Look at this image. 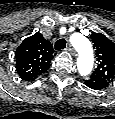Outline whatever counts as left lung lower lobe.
<instances>
[{
	"label": "left lung lower lobe",
	"instance_id": "obj_1",
	"mask_svg": "<svg viewBox=\"0 0 115 119\" xmlns=\"http://www.w3.org/2000/svg\"><path fill=\"white\" fill-rule=\"evenodd\" d=\"M85 85L95 90H101L108 87L109 81L93 74L87 80H85Z\"/></svg>",
	"mask_w": 115,
	"mask_h": 119
}]
</instances>
